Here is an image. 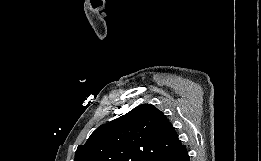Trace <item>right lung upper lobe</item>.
<instances>
[{
	"mask_svg": "<svg viewBox=\"0 0 261 161\" xmlns=\"http://www.w3.org/2000/svg\"><path fill=\"white\" fill-rule=\"evenodd\" d=\"M181 145L166 116L155 106L142 104L99 126L78 146L74 161H150Z\"/></svg>",
	"mask_w": 261,
	"mask_h": 161,
	"instance_id": "obj_1",
	"label": "right lung upper lobe"
}]
</instances>
